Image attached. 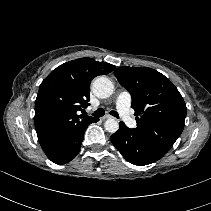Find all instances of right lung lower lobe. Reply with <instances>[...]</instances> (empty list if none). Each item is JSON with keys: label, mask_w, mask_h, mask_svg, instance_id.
Wrapping results in <instances>:
<instances>
[{"label": "right lung lower lobe", "mask_w": 211, "mask_h": 211, "mask_svg": "<svg viewBox=\"0 0 211 211\" xmlns=\"http://www.w3.org/2000/svg\"><path fill=\"white\" fill-rule=\"evenodd\" d=\"M98 120L99 119H95L93 122H97ZM87 125L75 130L67 139L53 150L45 152L47 157L56 164H64L71 161L80 151Z\"/></svg>", "instance_id": "obj_1"}]
</instances>
